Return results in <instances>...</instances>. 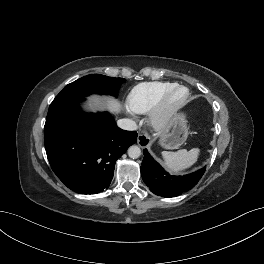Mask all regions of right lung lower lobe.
I'll use <instances>...</instances> for the list:
<instances>
[{
  "mask_svg": "<svg viewBox=\"0 0 264 264\" xmlns=\"http://www.w3.org/2000/svg\"><path fill=\"white\" fill-rule=\"evenodd\" d=\"M82 100L46 118L45 149L52 170L68 188L97 194L109 187L116 160L136 143L137 132L118 128L108 112L84 113Z\"/></svg>",
  "mask_w": 264,
  "mask_h": 264,
  "instance_id": "1",
  "label": "right lung lower lobe"
}]
</instances>
